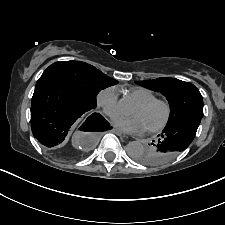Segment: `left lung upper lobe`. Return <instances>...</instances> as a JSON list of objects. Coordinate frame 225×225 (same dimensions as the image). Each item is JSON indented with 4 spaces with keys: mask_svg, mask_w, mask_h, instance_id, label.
Instances as JSON below:
<instances>
[{
    "mask_svg": "<svg viewBox=\"0 0 225 225\" xmlns=\"http://www.w3.org/2000/svg\"><path fill=\"white\" fill-rule=\"evenodd\" d=\"M137 84L154 91H160L170 104V116L166 126L189 117L203 116V98L199 90L191 83L175 78H157L155 80L136 81ZM144 150L135 159L149 165L148 157L155 149V143Z\"/></svg>",
    "mask_w": 225,
    "mask_h": 225,
    "instance_id": "1",
    "label": "left lung upper lobe"
}]
</instances>
